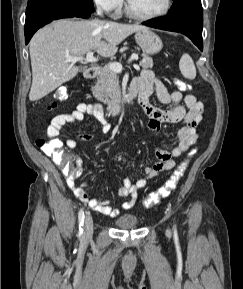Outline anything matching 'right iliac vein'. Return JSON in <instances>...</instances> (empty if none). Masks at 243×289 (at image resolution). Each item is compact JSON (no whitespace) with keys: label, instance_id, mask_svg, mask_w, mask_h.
Listing matches in <instances>:
<instances>
[{"label":"right iliac vein","instance_id":"right-iliac-vein-1","mask_svg":"<svg viewBox=\"0 0 243 289\" xmlns=\"http://www.w3.org/2000/svg\"><path fill=\"white\" fill-rule=\"evenodd\" d=\"M84 229L83 239L89 240L93 234V219L89 214L85 218Z\"/></svg>","mask_w":243,"mask_h":289}]
</instances>
